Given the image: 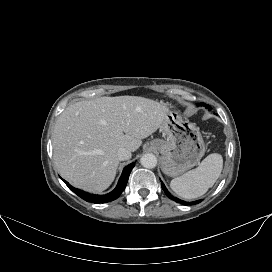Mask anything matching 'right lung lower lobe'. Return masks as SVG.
I'll list each match as a JSON object with an SVG mask.
<instances>
[{
	"mask_svg": "<svg viewBox=\"0 0 272 272\" xmlns=\"http://www.w3.org/2000/svg\"><path fill=\"white\" fill-rule=\"evenodd\" d=\"M134 166H135V163H131V164L127 165L122 172V175L118 181L116 188L113 191H111L110 193L105 194V195L90 194V193L84 192L80 189L74 188L65 180H63V181L75 194H77L79 197H81L85 201L92 202V203H106V202L113 201L120 196V194L123 192V190L126 187L130 172L134 168Z\"/></svg>",
	"mask_w": 272,
	"mask_h": 272,
	"instance_id": "1",
	"label": "right lung lower lobe"
}]
</instances>
